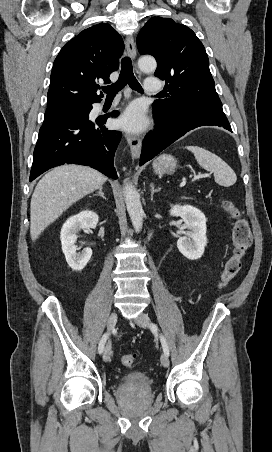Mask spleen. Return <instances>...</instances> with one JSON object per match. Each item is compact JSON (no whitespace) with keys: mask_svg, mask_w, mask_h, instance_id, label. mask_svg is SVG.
<instances>
[{"mask_svg":"<svg viewBox=\"0 0 272 452\" xmlns=\"http://www.w3.org/2000/svg\"><path fill=\"white\" fill-rule=\"evenodd\" d=\"M191 151L197 163L205 170L214 173L216 183L229 187L235 184L237 177L233 169L219 156L199 146H186Z\"/></svg>","mask_w":272,"mask_h":452,"instance_id":"spleen-1","label":"spleen"}]
</instances>
